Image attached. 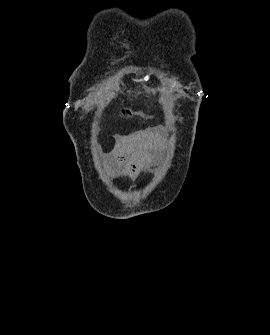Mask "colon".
Here are the masks:
<instances>
[{"label":"colon","instance_id":"5ec220e1","mask_svg":"<svg viewBox=\"0 0 270 335\" xmlns=\"http://www.w3.org/2000/svg\"><path fill=\"white\" fill-rule=\"evenodd\" d=\"M126 116L127 117H133L134 116V111L133 110H127L126 111Z\"/></svg>","mask_w":270,"mask_h":335}]
</instances>
